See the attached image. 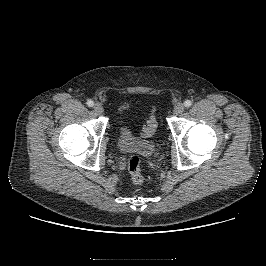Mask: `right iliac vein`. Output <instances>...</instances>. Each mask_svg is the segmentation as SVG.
I'll use <instances>...</instances> for the list:
<instances>
[{
  "label": "right iliac vein",
  "instance_id": "63e3f726",
  "mask_svg": "<svg viewBox=\"0 0 266 266\" xmlns=\"http://www.w3.org/2000/svg\"><path fill=\"white\" fill-rule=\"evenodd\" d=\"M94 111L98 114H102L104 112V108L102 107L101 104L96 103L93 107Z\"/></svg>",
  "mask_w": 266,
  "mask_h": 266
}]
</instances>
